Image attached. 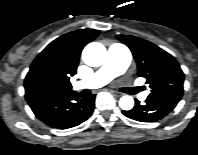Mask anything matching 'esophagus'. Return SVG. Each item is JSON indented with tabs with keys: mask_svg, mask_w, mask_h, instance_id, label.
Segmentation results:
<instances>
[{
	"mask_svg": "<svg viewBox=\"0 0 198 155\" xmlns=\"http://www.w3.org/2000/svg\"><path fill=\"white\" fill-rule=\"evenodd\" d=\"M111 92H112V94H113L114 96H116V97H120V96L123 95L121 92H118V91H115V90H112Z\"/></svg>",
	"mask_w": 198,
	"mask_h": 155,
	"instance_id": "esophagus-1",
	"label": "esophagus"
}]
</instances>
